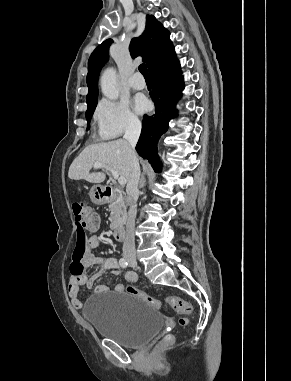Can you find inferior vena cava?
Segmentation results:
<instances>
[{
	"mask_svg": "<svg viewBox=\"0 0 291 381\" xmlns=\"http://www.w3.org/2000/svg\"><path fill=\"white\" fill-rule=\"evenodd\" d=\"M141 133V123L137 120H132L126 127L124 139L130 145L129 156L131 160V176L127 183L126 191L127 194L133 201L127 217L126 223V238L123 244V254H135V239H134V227L136 218V202L138 198V181L140 178V166L135 151V146L138 142Z\"/></svg>",
	"mask_w": 291,
	"mask_h": 381,
	"instance_id": "602c4592",
	"label": "inferior vena cava"
}]
</instances>
